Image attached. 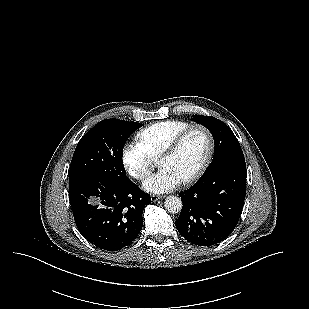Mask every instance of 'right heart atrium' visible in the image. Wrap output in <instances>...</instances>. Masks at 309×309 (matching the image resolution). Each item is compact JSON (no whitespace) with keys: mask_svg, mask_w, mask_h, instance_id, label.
I'll use <instances>...</instances> for the list:
<instances>
[{"mask_svg":"<svg viewBox=\"0 0 309 309\" xmlns=\"http://www.w3.org/2000/svg\"><path fill=\"white\" fill-rule=\"evenodd\" d=\"M122 159L129 175L140 181L150 175L155 165V159L138 142L125 145Z\"/></svg>","mask_w":309,"mask_h":309,"instance_id":"d8ad5b80","label":"right heart atrium"}]
</instances>
